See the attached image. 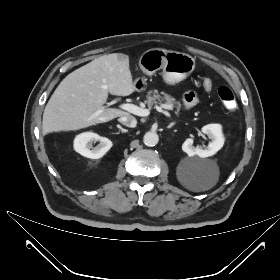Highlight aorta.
I'll return each instance as SVG.
<instances>
[{
  "label": "aorta",
  "mask_w": 280,
  "mask_h": 280,
  "mask_svg": "<svg viewBox=\"0 0 280 280\" xmlns=\"http://www.w3.org/2000/svg\"><path fill=\"white\" fill-rule=\"evenodd\" d=\"M159 141L158 134L156 132H147L143 137V142L148 147L157 145Z\"/></svg>",
  "instance_id": "obj_1"
}]
</instances>
